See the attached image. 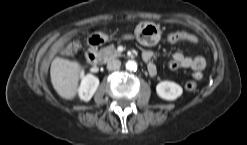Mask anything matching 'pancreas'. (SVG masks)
I'll list each match as a JSON object with an SVG mask.
<instances>
[{
    "label": "pancreas",
    "mask_w": 247,
    "mask_h": 145,
    "mask_svg": "<svg viewBox=\"0 0 247 145\" xmlns=\"http://www.w3.org/2000/svg\"><path fill=\"white\" fill-rule=\"evenodd\" d=\"M98 54L103 61H108L110 59L117 58V57L121 56V53H119L116 50L114 44H111L107 47L100 49Z\"/></svg>",
    "instance_id": "1"
}]
</instances>
